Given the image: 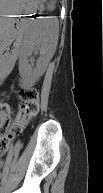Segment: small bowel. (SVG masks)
<instances>
[{"label": "small bowel", "mask_w": 103, "mask_h": 193, "mask_svg": "<svg viewBox=\"0 0 103 193\" xmlns=\"http://www.w3.org/2000/svg\"><path fill=\"white\" fill-rule=\"evenodd\" d=\"M6 169V168H5ZM7 170V169H6ZM6 170H4L5 171V173L7 174V171Z\"/></svg>", "instance_id": "small-bowel-1"}]
</instances>
